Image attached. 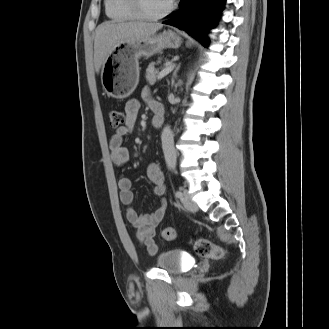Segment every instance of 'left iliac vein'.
Listing matches in <instances>:
<instances>
[{"instance_id":"left-iliac-vein-1","label":"left iliac vein","mask_w":329,"mask_h":329,"mask_svg":"<svg viewBox=\"0 0 329 329\" xmlns=\"http://www.w3.org/2000/svg\"><path fill=\"white\" fill-rule=\"evenodd\" d=\"M182 203L184 205V207L191 212H195L198 210V206L197 204L192 201L190 195L188 194V192L186 190L183 191V197L181 198Z\"/></svg>"}]
</instances>
